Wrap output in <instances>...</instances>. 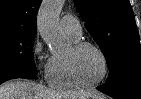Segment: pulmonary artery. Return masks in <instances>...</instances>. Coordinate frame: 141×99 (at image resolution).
I'll list each match as a JSON object with an SVG mask.
<instances>
[{"instance_id":"1","label":"pulmonary artery","mask_w":141,"mask_h":99,"mask_svg":"<svg viewBox=\"0 0 141 99\" xmlns=\"http://www.w3.org/2000/svg\"><path fill=\"white\" fill-rule=\"evenodd\" d=\"M61 30L74 38H80L82 35V27L76 17L71 14L64 15L60 20Z\"/></svg>"}]
</instances>
